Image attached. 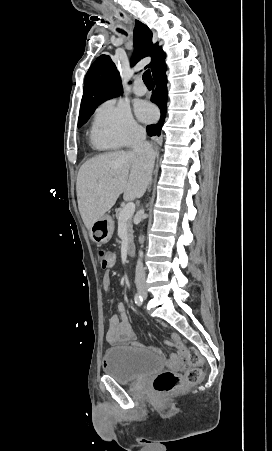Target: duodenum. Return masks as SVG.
I'll list each match as a JSON object with an SVG mask.
<instances>
[{"label": "duodenum", "instance_id": "1", "mask_svg": "<svg viewBox=\"0 0 272 451\" xmlns=\"http://www.w3.org/2000/svg\"><path fill=\"white\" fill-rule=\"evenodd\" d=\"M127 254L129 255V256H133V254H134V246L132 245V244H129L128 246H127Z\"/></svg>", "mask_w": 272, "mask_h": 451}]
</instances>
